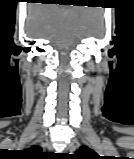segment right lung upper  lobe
Returning a JSON list of instances; mask_svg holds the SVG:
<instances>
[{
  "label": "right lung upper lobe",
  "instance_id": "obj_1",
  "mask_svg": "<svg viewBox=\"0 0 134 159\" xmlns=\"http://www.w3.org/2000/svg\"><path fill=\"white\" fill-rule=\"evenodd\" d=\"M26 151H28V152L31 153V154H36V153H40V152H41V149L36 146V147H32L31 149L26 150Z\"/></svg>",
  "mask_w": 134,
  "mask_h": 159
}]
</instances>
